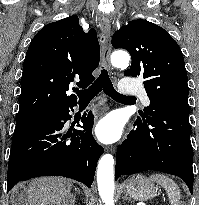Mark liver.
Masks as SVG:
<instances>
[{"label":"liver","mask_w":199,"mask_h":205,"mask_svg":"<svg viewBox=\"0 0 199 205\" xmlns=\"http://www.w3.org/2000/svg\"><path fill=\"white\" fill-rule=\"evenodd\" d=\"M72 187V183L65 178H36L30 182L21 200L27 205H73ZM16 190H13V196Z\"/></svg>","instance_id":"6515ba94"}]
</instances>
